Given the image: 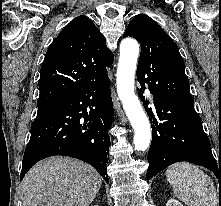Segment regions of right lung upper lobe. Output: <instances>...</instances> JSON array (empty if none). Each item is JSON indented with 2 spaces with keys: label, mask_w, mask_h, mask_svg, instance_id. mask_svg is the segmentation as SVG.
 Instances as JSON below:
<instances>
[{
  "label": "right lung upper lobe",
  "mask_w": 221,
  "mask_h": 206,
  "mask_svg": "<svg viewBox=\"0 0 221 206\" xmlns=\"http://www.w3.org/2000/svg\"><path fill=\"white\" fill-rule=\"evenodd\" d=\"M113 54L91 19H73L55 38L40 70L38 108L72 98L107 76Z\"/></svg>",
  "instance_id": "right-lung-upper-lobe-1"
}]
</instances>
